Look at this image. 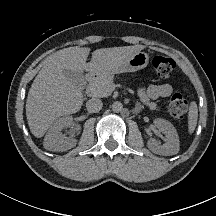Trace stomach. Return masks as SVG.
Segmentation results:
<instances>
[{
  "instance_id": "0dacf381",
  "label": "stomach",
  "mask_w": 216,
  "mask_h": 216,
  "mask_svg": "<svg viewBox=\"0 0 216 216\" xmlns=\"http://www.w3.org/2000/svg\"><path fill=\"white\" fill-rule=\"evenodd\" d=\"M148 62H149L148 54L139 51L135 53L130 59L123 62L119 66L109 71L95 73V75L102 76V75H112V74L124 73V72H135L145 68L148 65Z\"/></svg>"
}]
</instances>
